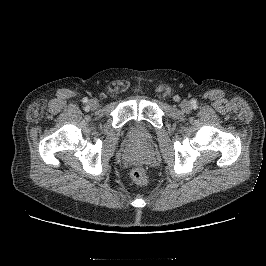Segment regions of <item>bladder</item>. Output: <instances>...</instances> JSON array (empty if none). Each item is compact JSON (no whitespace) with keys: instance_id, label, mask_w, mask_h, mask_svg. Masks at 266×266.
I'll return each mask as SVG.
<instances>
[{"instance_id":"bladder-1","label":"bladder","mask_w":266,"mask_h":266,"mask_svg":"<svg viewBox=\"0 0 266 266\" xmlns=\"http://www.w3.org/2000/svg\"><path fill=\"white\" fill-rule=\"evenodd\" d=\"M130 136L133 140L147 143L151 140L150 132L143 126L135 125L130 129Z\"/></svg>"}]
</instances>
